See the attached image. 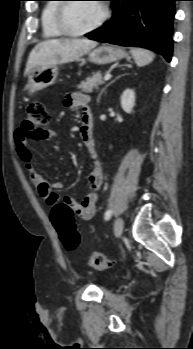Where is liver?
<instances>
[{"label":"liver","mask_w":193,"mask_h":349,"mask_svg":"<svg viewBox=\"0 0 193 349\" xmlns=\"http://www.w3.org/2000/svg\"><path fill=\"white\" fill-rule=\"evenodd\" d=\"M97 46L88 39H50L38 43L30 52L24 75L36 67H48L78 60Z\"/></svg>","instance_id":"1"}]
</instances>
